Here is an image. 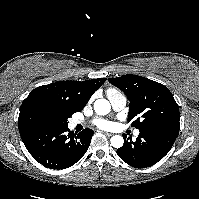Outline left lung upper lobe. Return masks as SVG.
I'll return each instance as SVG.
<instances>
[{
	"mask_svg": "<svg viewBox=\"0 0 199 199\" xmlns=\"http://www.w3.org/2000/svg\"><path fill=\"white\" fill-rule=\"evenodd\" d=\"M108 81L130 100L131 126L142 131L162 123L179 122L178 104L164 85L137 75H122Z\"/></svg>",
	"mask_w": 199,
	"mask_h": 199,
	"instance_id": "1",
	"label": "left lung upper lobe"
}]
</instances>
